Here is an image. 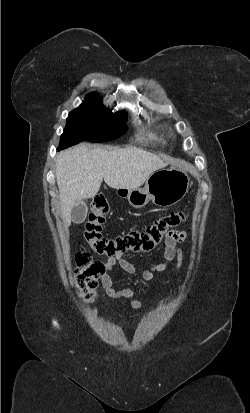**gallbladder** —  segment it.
<instances>
[{"label":"gallbladder","mask_w":250,"mask_h":413,"mask_svg":"<svg viewBox=\"0 0 250 413\" xmlns=\"http://www.w3.org/2000/svg\"><path fill=\"white\" fill-rule=\"evenodd\" d=\"M88 207L85 202H79L71 211V220L76 224L84 222L87 216Z\"/></svg>","instance_id":"obj_1"}]
</instances>
